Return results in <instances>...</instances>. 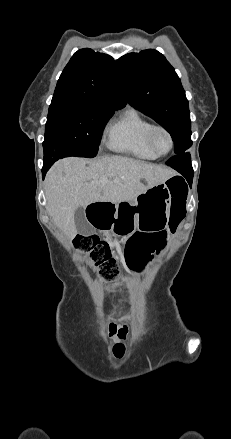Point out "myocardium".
<instances>
[{
	"instance_id": "myocardium-1",
	"label": "myocardium",
	"mask_w": 231,
	"mask_h": 439,
	"mask_svg": "<svg viewBox=\"0 0 231 439\" xmlns=\"http://www.w3.org/2000/svg\"><path fill=\"white\" fill-rule=\"evenodd\" d=\"M157 132L164 133V135L166 136V138L168 140L169 146H168V149L165 152L158 151L156 146H155L154 138H155V135H156ZM147 141H148V145H149L150 149L158 157H162V156L168 155L174 149V145H175V140H174L172 132L166 126L161 125V124H153L151 126V128L149 129V132H148Z\"/></svg>"
}]
</instances>
